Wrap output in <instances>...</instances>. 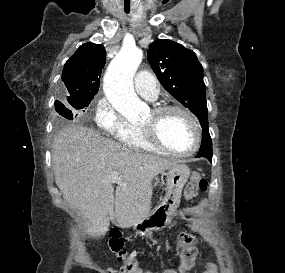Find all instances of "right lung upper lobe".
Returning <instances> with one entry per match:
<instances>
[{"label": "right lung upper lobe", "mask_w": 285, "mask_h": 273, "mask_svg": "<svg viewBox=\"0 0 285 273\" xmlns=\"http://www.w3.org/2000/svg\"><path fill=\"white\" fill-rule=\"evenodd\" d=\"M105 56V48L100 44L85 43L77 49L62 72L67 99L91 98L97 94Z\"/></svg>", "instance_id": "obj_1"}]
</instances>
